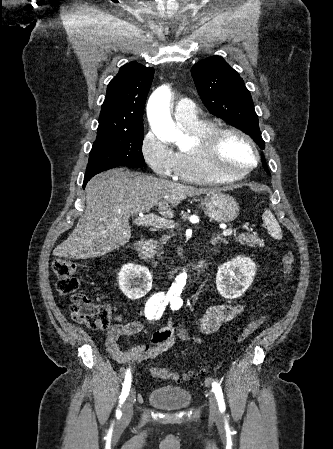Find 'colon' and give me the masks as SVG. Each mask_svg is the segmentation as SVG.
<instances>
[{"instance_id": "obj_1", "label": "colon", "mask_w": 333, "mask_h": 449, "mask_svg": "<svg viewBox=\"0 0 333 449\" xmlns=\"http://www.w3.org/2000/svg\"><path fill=\"white\" fill-rule=\"evenodd\" d=\"M281 263L285 273L286 281L291 280L295 265V255L290 250H285L281 256ZM52 271L57 278L56 288L64 294H71V316L72 318L92 330L108 329L111 323L112 311L108 304L96 303L91 297L80 291V279L76 274V264L66 257H55L52 261ZM265 315L252 318L245 325L242 334L237 338L242 343L251 336L263 323ZM151 374L157 378L177 379L176 373L159 366L151 368ZM188 375L183 374L186 378Z\"/></svg>"}]
</instances>
